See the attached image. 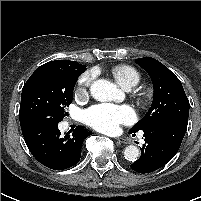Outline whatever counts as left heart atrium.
Returning a JSON list of instances; mask_svg holds the SVG:
<instances>
[{
  "mask_svg": "<svg viewBox=\"0 0 201 201\" xmlns=\"http://www.w3.org/2000/svg\"><path fill=\"white\" fill-rule=\"evenodd\" d=\"M134 119V110L127 105L99 104L84 112L85 122L105 133L115 132L119 125L131 123Z\"/></svg>",
  "mask_w": 201,
  "mask_h": 201,
  "instance_id": "left-heart-atrium-1",
  "label": "left heart atrium"
}]
</instances>
